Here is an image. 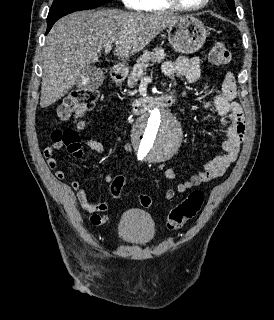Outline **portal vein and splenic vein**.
<instances>
[{
    "instance_id": "1",
    "label": "portal vein and splenic vein",
    "mask_w": 274,
    "mask_h": 320,
    "mask_svg": "<svg viewBox=\"0 0 274 320\" xmlns=\"http://www.w3.org/2000/svg\"><path fill=\"white\" fill-rule=\"evenodd\" d=\"M105 54H109L112 50V44H107L106 48H104Z\"/></svg>"
}]
</instances>
